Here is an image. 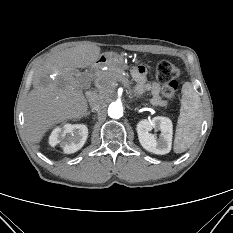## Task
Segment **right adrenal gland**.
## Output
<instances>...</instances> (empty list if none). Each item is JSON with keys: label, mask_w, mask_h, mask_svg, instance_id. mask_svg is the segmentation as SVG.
Here are the masks:
<instances>
[{"label": "right adrenal gland", "mask_w": 233, "mask_h": 233, "mask_svg": "<svg viewBox=\"0 0 233 233\" xmlns=\"http://www.w3.org/2000/svg\"><path fill=\"white\" fill-rule=\"evenodd\" d=\"M88 115H90V111H88V112L86 113V116H88Z\"/></svg>", "instance_id": "1"}]
</instances>
